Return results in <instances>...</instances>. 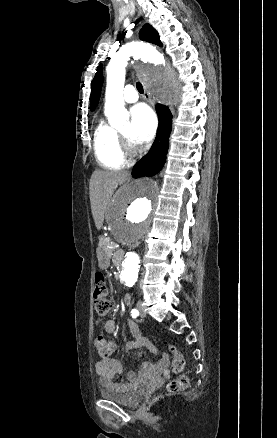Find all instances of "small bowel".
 Segmentation results:
<instances>
[{"label": "small bowel", "mask_w": 277, "mask_h": 438, "mask_svg": "<svg viewBox=\"0 0 277 438\" xmlns=\"http://www.w3.org/2000/svg\"><path fill=\"white\" fill-rule=\"evenodd\" d=\"M126 302H130V297L126 298ZM104 329L109 334L115 333V320H107L104 323ZM130 330L134 340L126 344V351L147 348L156 353L155 348H153V346L142 336L135 324H130ZM169 364V356L166 353H161L155 364L144 362L140 366L139 373L131 371L125 374L123 366L119 361L108 358L102 359L96 363L95 372L98 377V383L101 387L113 391L125 392L139 382L141 375L168 372Z\"/></svg>", "instance_id": "c3829d8e"}]
</instances>
